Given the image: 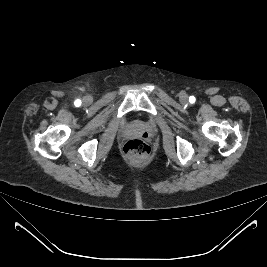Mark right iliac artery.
Listing matches in <instances>:
<instances>
[{"instance_id":"82829eb1","label":"right iliac artery","mask_w":267,"mask_h":267,"mask_svg":"<svg viewBox=\"0 0 267 267\" xmlns=\"http://www.w3.org/2000/svg\"><path fill=\"white\" fill-rule=\"evenodd\" d=\"M75 105H76V106H80V105H81V101H80V100H76V101H75Z\"/></svg>"}]
</instances>
